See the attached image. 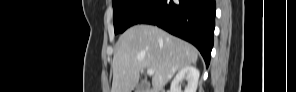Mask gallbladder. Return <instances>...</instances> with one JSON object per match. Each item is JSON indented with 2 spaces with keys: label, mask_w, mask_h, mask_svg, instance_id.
Returning a JSON list of instances; mask_svg holds the SVG:
<instances>
[{
  "label": "gallbladder",
  "mask_w": 296,
  "mask_h": 92,
  "mask_svg": "<svg viewBox=\"0 0 296 92\" xmlns=\"http://www.w3.org/2000/svg\"><path fill=\"white\" fill-rule=\"evenodd\" d=\"M147 88H148L147 84L140 83L139 85H137L136 90L137 92H145Z\"/></svg>",
  "instance_id": "1"
}]
</instances>
